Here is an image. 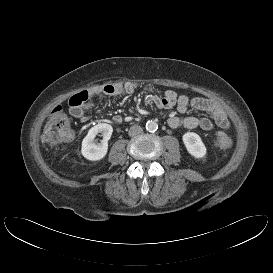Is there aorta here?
<instances>
[{
  "instance_id": "aorta-1",
  "label": "aorta",
  "mask_w": 273,
  "mask_h": 273,
  "mask_svg": "<svg viewBox=\"0 0 273 273\" xmlns=\"http://www.w3.org/2000/svg\"><path fill=\"white\" fill-rule=\"evenodd\" d=\"M146 129L149 132H154V131H156L158 129V124L153 120H149L146 123Z\"/></svg>"
}]
</instances>
